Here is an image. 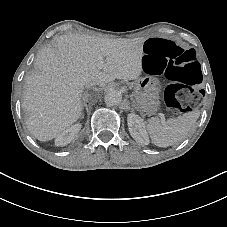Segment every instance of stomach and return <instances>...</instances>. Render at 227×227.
I'll return each instance as SVG.
<instances>
[{"label":"stomach","instance_id":"1","mask_svg":"<svg viewBox=\"0 0 227 227\" xmlns=\"http://www.w3.org/2000/svg\"><path fill=\"white\" fill-rule=\"evenodd\" d=\"M134 90L139 111L153 114L159 107L158 92L154 77L147 75L137 79Z\"/></svg>","mask_w":227,"mask_h":227}]
</instances>
